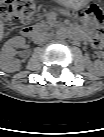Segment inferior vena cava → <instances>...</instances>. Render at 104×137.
<instances>
[{"label": "inferior vena cava", "instance_id": "obj_1", "mask_svg": "<svg viewBox=\"0 0 104 137\" xmlns=\"http://www.w3.org/2000/svg\"><path fill=\"white\" fill-rule=\"evenodd\" d=\"M47 36L48 34L46 32H37L34 35V42L40 44L47 39Z\"/></svg>", "mask_w": 104, "mask_h": 137}]
</instances>
